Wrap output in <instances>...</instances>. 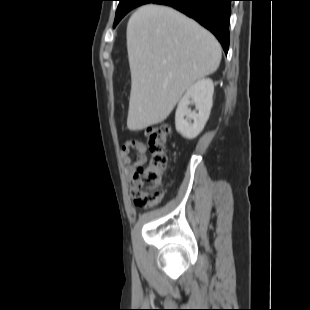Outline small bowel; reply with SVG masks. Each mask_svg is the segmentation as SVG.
Instances as JSON below:
<instances>
[{
	"instance_id": "obj_1",
	"label": "small bowel",
	"mask_w": 310,
	"mask_h": 310,
	"mask_svg": "<svg viewBox=\"0 0 310 310\" xmlns=\"http://www.w3.org/2000/svg\"><path fill=\"white\" fill-rule=\"evenodd\" d=\"M120 154L125 175L128 178H132L137 168L146 161V146L138 140L129 139L122 143ZM132 155H134V158Z\"/></svg>"
}]
</instances>
